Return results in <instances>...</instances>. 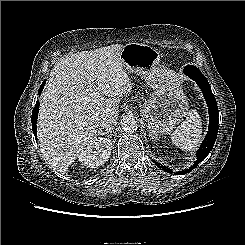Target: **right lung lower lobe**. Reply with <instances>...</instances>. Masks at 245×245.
<instances>
[{
  "mask_svg": "<svg viewBox=\"0 0 245 245\" xmlns=\"http://www.w3.org/2000/svg\"><path fill=\"white\" fill-rule=\"evenodd\" d=\"M45 84V81L43 82ZM42 83L40 89H39V93L42 91L44 84ZM38 110H39V102H36L35 107L33 108L32 111V118H31V122H32V130L34 132L35 138L37 139V117H38Z\"/></svg>",
  "mask_w": 245,
  "mask_h": 245,
  "instance_id": "98d812e1",
  "label": "right lung lower lobe"
}]
</instances>
